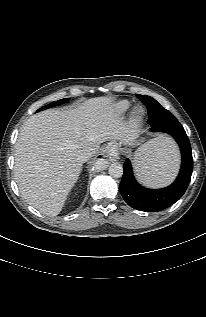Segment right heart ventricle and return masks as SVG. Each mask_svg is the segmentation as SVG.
I'll return each instance as SVG.
<instances>
[{
    "instance_id": "e07e8e85",
    "label": "right heart ventricle",
    "mask_w": 206,
    "mask_h": 317,
    "mask_svg": "<svg viewBox=\"0 0 206 317\" xmlns=\"http://www.w3.org/2000/svg\"><path fill=\"white\" fill-rule=\"evenodd\" d=\"M130 106H131L130 102H128L126 100H122V101L117 102L114 105V111L117 115H121V114L125 113L126 111H128Z\"/></svg>"
}]
</instances>
